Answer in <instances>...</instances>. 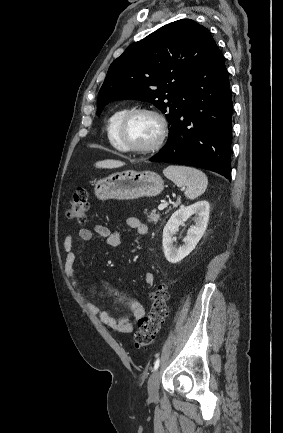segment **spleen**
Segmentation results:
<instances>
[{"instance_id":"spleen-1","label":"spleen","mask_w":283,"mask_h":433,"mask_svg":"<svg viewBox=\"0 0 283 433\" xmlns=\"http://www.w3.org/2000/svg\"><path fill=\"white\" fill-rule=\"evenodd\" d=\"M165 176L173 180L177 186H186L185 196L187 198H197L203 194L207 188L208 178L202 170L192 168V166H177V164H170L163 170Z\"/></svg>"}]
</instances>
